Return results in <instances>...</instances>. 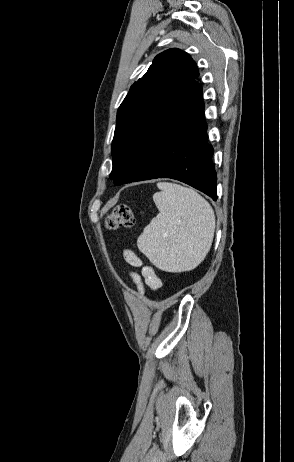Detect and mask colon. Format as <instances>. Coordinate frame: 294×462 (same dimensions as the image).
I'll return each instance as SVG.
<instances>
[{
  "label": "colon",
  "mask_w": 294,
  "mask_h": 462,
  "mask_svg": "<svg viewBox=\"0 0 294 462\" xmlns=\"http://www.w3.org/2000/svg\"><path fill=\"white\" fill-rule=\"evenodd\" d=\"M134 224L133 213L129 206H117L106 218L105 227L109 230L118 227H131Z\"/></svg>",
  "instance_id": "obj_1"
}]
</instances>
